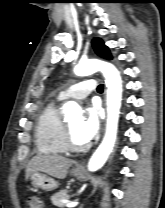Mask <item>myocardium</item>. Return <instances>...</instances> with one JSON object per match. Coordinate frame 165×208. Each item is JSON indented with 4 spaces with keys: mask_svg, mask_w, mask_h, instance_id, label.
<instances>
[{
    "mask_svg": "<svg viewBox=\"0 0 165 208\" xmlns=\"http://www.w3.org/2000/svg\"><path fill=\"white\" fill-rule=\"evenodd\" d=\"M63 144L67 152H83L88 148L87 144L79 145L74 142L68 124L64 123Z\"/></svg>",
    "mask_w": 165,
    "mask_h": 208,
    "instance_id": "obj_1",
    "label": "myocardium"
}]
</instances>
